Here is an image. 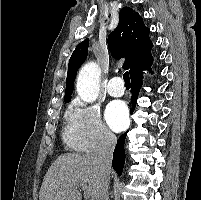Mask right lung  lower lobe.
Here are the masks:
<instances>
[{
  "label": "right lung lower lobe",
  "instance_id": "obj_1",
  "mask_svg": "<svg viewBox=\"0 0 201 200\" xmlns=\"http://www.w3.org/2000/svg\"><path fill=\"white\" fill-rule=\"evenodd\" d=\"M151 65L152 64L148 65L143 70H150ZM142 79H143V76L141 74V71H139L131 76V92H132L131 113H133V111L136 107L137 97H138L139 91L142 86ZM125 138H126V134H123L119 137V139L117 141V145H116L114 153H113L112 166L119 176L122 174L123 166L125 163V150H124Z\"/></svg>",
  "mask_w": 201,
  "mask_h": 200
}]
</instances>
